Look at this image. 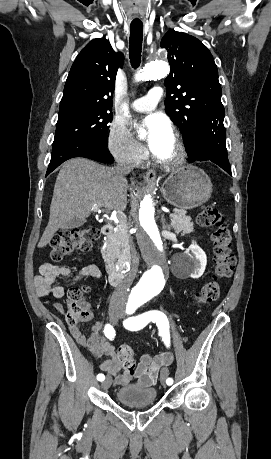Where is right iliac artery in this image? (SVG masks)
I'll list each match as a JSON object with an SVG mask.
<instances>
[{
	"mask_svg": "<svg viewBox=\"0 0 271 459\" xmlns=\"http://www.w3.org/2000/svg\"><path fill=\"white\" fill-rule=\"evenodd\" d=\"M104 333H105V336L110 340H113L116 335L114 328L110 324L105 325ZM104 379H105L104 374L97 375V380L103 381Z\"/></svg>",
	"mask_w": 271,
	"mask_h": 459,
	"instance_id": "obj_1",
	"label": "right iliac artery"
}]
</instances>
